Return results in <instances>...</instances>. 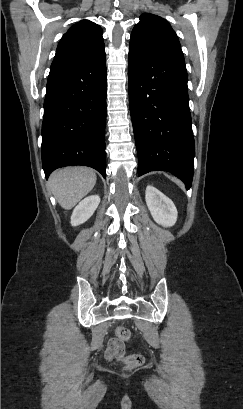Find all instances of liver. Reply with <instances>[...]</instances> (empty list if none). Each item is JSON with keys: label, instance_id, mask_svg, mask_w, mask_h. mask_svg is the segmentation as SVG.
Returning <instances> with one entry per match:
<instances>
[{"label": "liver", "instance_id": "liver-1", "mask_svg": "<svg viewBox=\"0 0 243 409\" xmlns=\"http://www.w3.org/2000/svg\"><path fill=\"white\" fill-rule=\"evenodd\" d=\"M96 180L93 169L75 166L54 171L48 183L60 206L69 210L93 189Z\"/></svg>", "mask_w": 243, "mask_h": 409}]
</instances>
